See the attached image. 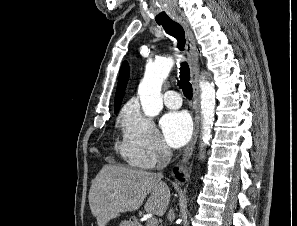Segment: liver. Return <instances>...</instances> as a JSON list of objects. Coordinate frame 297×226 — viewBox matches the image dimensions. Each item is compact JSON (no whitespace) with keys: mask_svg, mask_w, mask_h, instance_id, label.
I'll list each match as a JSON object with an SVG mask.
<instances>
[{"mask_svg":"<svg viewBox=\"0 0 297 226\" xmlns=\"http://www.w3.org/2000/svg\"><path fill=\"white\" fill-rule=\"evenodd\" d=\"M145 203V211L163 216L170 201V191L161 177L148 171L117 165H105L89 191V205L98 226L127 211H136Z\"/></svg>","mask_w":297,"mask_h":226,"instance_id":"1","label":"liver"}]
</instances>
